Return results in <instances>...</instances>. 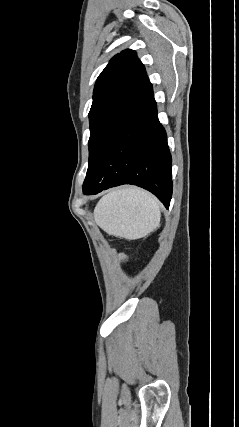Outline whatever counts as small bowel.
Instances as JSON below:
<instances>
[{"label": "small bowel", "mask_w": 239, "mask_h": 427, "mask_svg": "<svg viewBox=\"0 0 239 427\" xmlns=\"http://www.w3.org/2000/svg\"><path fill=\"white\" fill-rule=\"evenodd\" d=\"M120 259L124 261L126 259V257L123 254H121Z\"/></svg>", "instance_id": "c3829d8e"}]
</instances>
